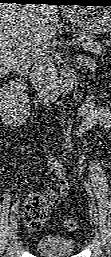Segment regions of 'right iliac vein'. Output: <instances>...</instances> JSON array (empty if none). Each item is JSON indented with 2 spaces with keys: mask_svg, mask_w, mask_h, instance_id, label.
<instances>
[{
  "mask_svg": "<svg viewBox=\"0 0 111 257\" xmlns=\"http://www.w3.org/2000/svg\"><path fill=\"white\" fill-rule=\"evenodd\" d=\"M17 229V219H14L13 222L11 223L10 230L12 233H14Z\"/></svg>",
  "mask_w": 111,
  "mask_h": 257,
  "instance_id": "right-iliac-vein-1",
  "label": "right iliac vein"
}]
</instances>
